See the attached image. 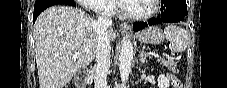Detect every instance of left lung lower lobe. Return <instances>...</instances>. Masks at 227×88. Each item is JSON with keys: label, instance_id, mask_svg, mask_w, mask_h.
<instances>
[{"label": "left lung lower lobe", "instance_id": "left-lung-lower-lobe-1", "mask_svg": "<svg viewBox=\"0 0 227 88\" xmlns=\"http://www.w3.org/2000/svg\"><path fill=\"white\" fill-rule=\"evenodd\" d=\"M187 15L186 0H161V13L148 21V23L137 22L133 29L139 31L147 26L160 23H176Z\"/></svg>", "mask_w": 227, "mask_h": 88}]
</instances>
